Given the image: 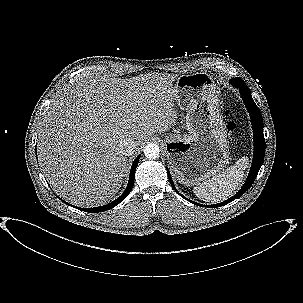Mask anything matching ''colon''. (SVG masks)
I'll return each instance as SVG.
<instances>
[{
  "instance_id": "colon-1",
  "label": "colon",
  "mask_w": 303,
  "mask_h": 303,
  "mask_svg": "<svg viewBox=\"0 0 303 303\" xmlns=\"http://www.w3.org/2000/svg\"><path fill=\"white\" fill-rule=\"evenodd\" d=\"M235 128H236V123H235V122L230 121V122L227 124V129H228L230 132L234 131Z\"/></svg>"
}]
</instances>
